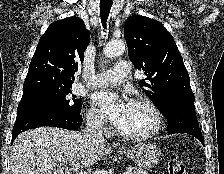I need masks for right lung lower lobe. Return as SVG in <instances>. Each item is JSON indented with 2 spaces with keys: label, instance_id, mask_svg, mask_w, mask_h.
I'll use <instances>...</instances> for the list:
<instances>
[{
  "label": "right lung lower lobe",
  "instance_id": "obj_1",
  "mask_svg": "<svg viewBox=\"0 0 224 174\" xmlns=\"http://www.w3.org/2000/svg\"><path fill=\"white\" fill-rule=\"evenodd\" d=\"M82 124V116L58 115L39 108H24L17 110V117L13 127L12 142L23 131L41 127L53 126L69 130H77Z\"/></svg>",
  "mask_w": 224,
  "mask_h": 174
}]
</instances>
